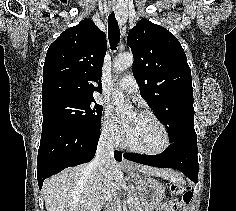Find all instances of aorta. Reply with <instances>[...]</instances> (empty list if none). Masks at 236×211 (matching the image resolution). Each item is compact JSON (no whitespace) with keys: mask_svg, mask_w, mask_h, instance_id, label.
Instances as JSON below:
<instances>
[{"mask_svg":"<svg viewBox=\"0 0 236 211\" xmlns=\"http://www.w3.org/2000/svg\"><path fill=\"white\" fill-rule=\"evenodd\" d=\"M133 62L134 58L132 53L120 54L114 60V70L117 73L122 72L131 67ZM112 96L116 104L117 112L122 113L131 107L127 102H125L124 95L121 91H114Z\"/></svg>","mask_w":236,"mask_h":211,"instance_id":"aorta-1","label":"aorta"}]
</instances>
